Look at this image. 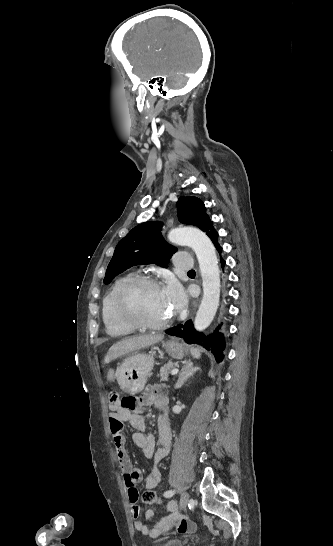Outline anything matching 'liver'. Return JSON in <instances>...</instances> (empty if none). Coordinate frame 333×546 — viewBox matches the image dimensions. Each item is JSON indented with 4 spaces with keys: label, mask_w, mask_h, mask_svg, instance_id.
I'll return each instance as SVG.
<instances>
[{
    "label": "liver",
    "mask_w": 333,
    "mask_h": 546,
    "mask_svg": "<svg viewBox=\"0 0 333 546\" xmlns=\"http://www.w3.org/2000/svg\"><path fill=\"white\" fill-rule=\"evenodd\" d=\"M164 338L162 334L156 335H142L132 338L124 339L114 345H112L105 356L104 362L109 363L112 360L128 354L130 352L149 347L151 345L159 343Z\"/></svg>",
    "instance_id": "liver-1"
}]
</instances>
